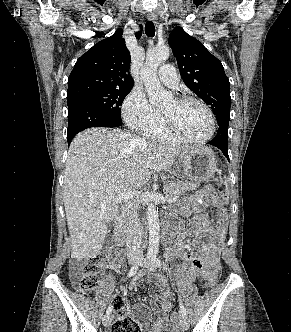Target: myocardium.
Returning a JSON list of instances; mask_svg holds the SVG:
<instances>
[{"label": "myocardium", "mask_w": 291, "mask_h": 332, "mask_svg": "<svg viewBox=\"0 0 291 332\" xmlns=\"http://www.w3.org/2000/svg\"><path fill=\"white\" fill-rule=\"evenodd\" d=\"M174 101L177 104H184V103H188V102H193L196 103L198 105H200L205 112L207 113L209 120H210V130L209 133L202 137V138H193L190 136L185 135L184 133H182L174 124V122L171 120L170 117H168L165 113H163L161 111V115H162V119H163V123L164 126L166 128V130L175 138H177L180 141H185V142H189V143H196V144H203L206 143L207 141H209L210 139L213 138L215 132H216V118L215 115L212 111V109L202 100L193 97V96H178L176 98H174Z\"/></svg>", "instance_id": "obj_1"}]
</instances>
